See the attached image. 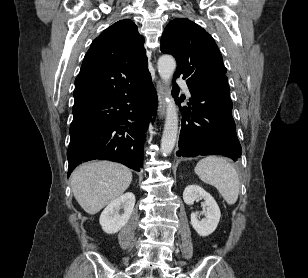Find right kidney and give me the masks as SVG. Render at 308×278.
I'll list each match as a JSON object with an SVG mask.
<instances>
[{
	"label": "right kidney",
	"mask_w": 308,
	"mask_h": 278,
	"mask_svg": "<svg viewBox=\"0 0 308 278\" xmlns=\"http://www.w3.org/2000/svg\"><path fill=\"white\" fill-rule=\"evenodd\" d=\"M135 205V196L127 192L112 201L101 213L99 222L107 234H114L121 230L128 222ZM123 209V213L120 210Z\"/></svg>",
	"instance_id": "ca27d5eb"
}]
</instances>
